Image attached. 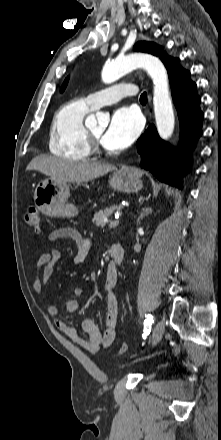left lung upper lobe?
I'll use <instances>...</instances> for the list:
<instances>
[{
	"instance_id": "5c2ea615",
	"label": "left lung upper lobe",
	"mask_w": 221,
	"mask_h": 440,
	"mask_svg": "<svg viewBox=\"0 0 221 440\" xmlns=\"http://www.w3.org/2000/svg\"><path fill=\"white\" fill-rule=\"evenodd\" d=\"M134 50L136 51H144V52H148L151 54H154L156 56H160V59L162 61L165 60L166 55L163 52V48L154 44V43H150V42H138L135 46H134ZM68 83V77L65 79L64 83L62 84L61 87V92L64 91L65 87L67 86Z\"/></svg>"
}]
</instances>
